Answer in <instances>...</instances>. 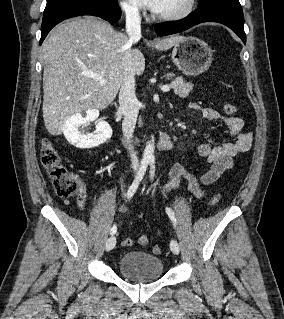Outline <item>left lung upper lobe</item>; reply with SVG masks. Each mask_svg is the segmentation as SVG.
<instances>
[{
	"mask_svg": "<svg viewBox=\"0 0 284 319\" xmlns=\"http://www.w3.org/2000/svg\"><path fill=\"white\" fill-rule=\"evenodd\" d=\"M218 1H222V0H199V7H204Z\"/></svg>",
	"mask_w": 284,
	"mask_h": 319,
	"instance_id": "obj_1",
	"label": "left lung upper lobe"
}]
</instances>
